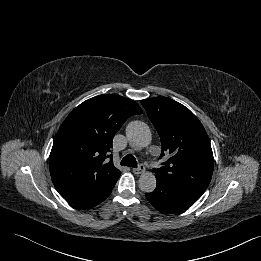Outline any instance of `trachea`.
I'll use <instances>...</instances> for the list:
<instances>
[{
  "label": "trachea",
  "instance_id": "trachea-1",
  "mask_svg": "<svg viewBox=\"0 0 261 261\" xmlns=\"http://www.w3.org/2000/svg\"><path fill=\"white\" fill-rule=\"evenodd\" d=\"M121 165L130 166L133 168H137L136 158L132 154H127L121 161Z\"/></svg>",
  "mask_w": 261,
  "mask_h": 261
}]
</instances>
